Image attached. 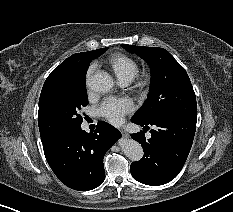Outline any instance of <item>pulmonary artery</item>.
Here are the masks:
<instances>
[{
    "label": "pulmonary artery",
    "mask_w": 233,
    "mask_h": 212,
    "mask_svg": "<svg viewBox=\"0 0 233 212\" xmlns=\"http://www.w3.org/2000/svg\"><path fill=\"white\" fill-rule=\"evenodd\" d=\"M121 84L125 86V85H127L128 83L124 82V83H121Z\"/></svg>",
    "instance_id": "pulmonary-artery-1"
}]
</instances>
